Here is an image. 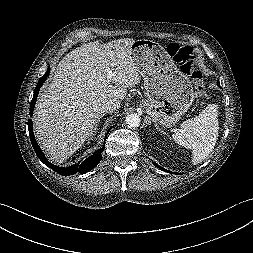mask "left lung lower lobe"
<instances>
[{
  "label": "left lung lower lobe",
  "mask_w": 253,
  "mask_h": 253,
  "mask_svg": "<svg viewBox=\"0 0 253 253\" xmlns=\"http://www.w3.org/2000/svg\"><path fill=\"white\" fill-rule=\"evenodd\" d=\"M217 85L220 87V84H219V81H217ZM154 165L157 167V168H159V169H161V170H163V171H165V172H169L168 170H165L164 168H161L159 165H157L156 163H154Z\"/></svg>",
  "instance_id": "obj_1"
}]
</instances>
